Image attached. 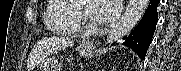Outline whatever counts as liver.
Listing matches in <instances>:
<instances>
[{"label": "liver", "mask_w": 181, "mask_h": 71, "mask_svg": "<svg viewBox=\"0 0 181 71\" xmlns=\"http://www.w3.org/2000/svg\"><path fill=\"white\" fill-rule=\"evenodd\" d=\"M73 46V41L59 37L44 38L33 48L27 63V69L31 70L46 56L61 49Z\"/></svg>", "instance_id": "6515ba94"}]
</instances>
